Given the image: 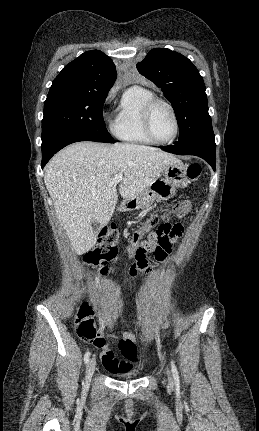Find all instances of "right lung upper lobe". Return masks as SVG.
Instances as JSON below:
<instances>
[{"label": "right lung upper lobe", "instance_id": "cb5924a9", "mask_svg": "<svg viewBox=\"0 0 259 431\" xmlns=\"http://www.w3.org/2000/svg\"><path fill=\"white\" fill-rule=\"evenodd\" d=\"M116 77L115 65L106 54L99 50L87 51L61 70L50 91L106 93L113 86Z\"/></svg>", "mask_w": 259, "mask_h": 431}]
</instances>
